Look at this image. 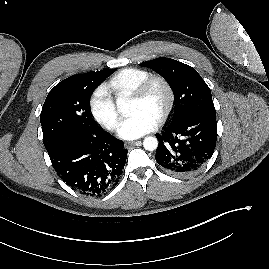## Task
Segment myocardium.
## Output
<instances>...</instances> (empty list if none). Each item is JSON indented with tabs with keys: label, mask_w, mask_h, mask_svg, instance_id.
<instances>
[{
	"label": "myocardium",
	"mask_w": 269,
	"mask_h": 269,
	"mask_svg": "<svg viewBox=\"0 0 269 269\" xmlns=\"http://www.w3.org/2000/svg\"><path fill=\"white\" fill-rule=\"evenodd\" d=\"M156 84L161 85L166 93L165 106L157 119V123L161 124L168 118L175 102L174 90L168 79L161 75H150L136 87L130 96L132 99L142 100Z\"/></svg>",
	"instance_id": "f54148a6"
}]
</instances>
